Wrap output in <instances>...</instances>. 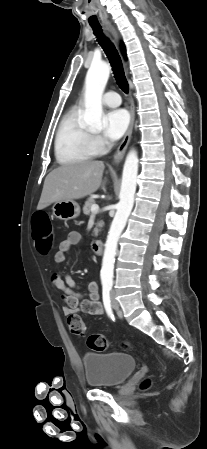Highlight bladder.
I'll return each instance as SVG.
<instances>
[{"instance_id":"obj_1","label":"bladder","mask_w":207,"mask_h":449,"mask_svg":"<svg viewBox=\"0 0 207 449\" xmlns=\"http://www.w3.org/2000/svg\"><path fill=\"white\" fill-rule=\"evenodd\" d=\"M83 368L90 386L114 387L122 384L134 372L136 361L121 352H88L83 356Z\"/></svg>"}]
</instances>
